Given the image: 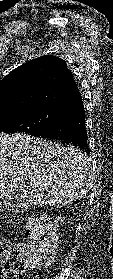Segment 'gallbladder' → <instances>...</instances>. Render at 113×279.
Segmentation results:
<instances>
[{"instance_id": "bac80fb5", "label": "gallbladder", "mask_w": 113, "mask_h": 279, "mask_svg": "<svg viewBox=\"0 0 113 279\" xmlns=\"http://www.w3.org/2000/svg\"><path fill=\"white\" fill-rule=\"evenodd\" d=\"M1 207L9 208V207L6 205V201H4V202H1V201H0V209H1Z\"/></svg>"}]
</instances>
